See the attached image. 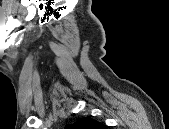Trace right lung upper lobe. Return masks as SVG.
I'll list each match as a JSON object with an SVG mask.
<instances>
[{
    "label": "right lung upper lobe",
    "instance_id": "1",
    "mask_svg": "<svg viewBox=\"0 0 169 129\" xmlns=\"http://www.w3.org/2000/svg\"><path fill=\"white\" fill-rule=\"evenodd\" d=\"M68 129H105V126L91 117L78 119L74 124L67 125Z\"/></svg>",
    "mask_w": 169,
    "mask_h": 129
}]
</instances>
